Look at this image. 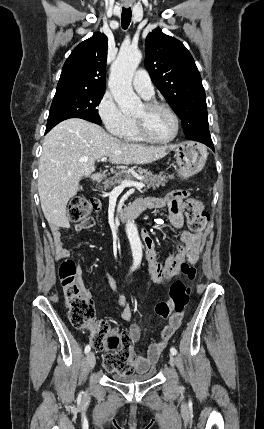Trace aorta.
I'll use <instances>...</instances> for the list:
<instances>
[{"label": "aorta", "mask_w": 264, "mask_h": 429, "mask_svg": "<svg viewBox=\"0 0 264 429\" xmlns=\"http://www.w3.org/2000/svg\"><path fill=\"white\" fill-rule=\"evenodd\" d=\"M141 59L140 50L133 47H123L111 66L108 85L116 103L124 114L132 113L141 106L140 98L132 89V78ZM125 228L131 246L133 268H137L141 264L143 255L138 229L132 220L126 222Z\"/></svg>", "instance_id": "762f6f07"}]
</instances>
